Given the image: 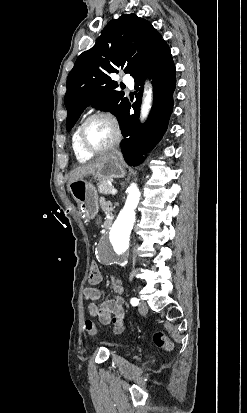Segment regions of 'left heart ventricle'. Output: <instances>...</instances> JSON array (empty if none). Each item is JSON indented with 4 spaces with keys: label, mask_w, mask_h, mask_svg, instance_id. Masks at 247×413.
Wrapping results in <instances>:
<instances>
[{
    "label": "left heart ventricle",
    "mask_w": 247,
    "mask_h": 413,
    "mask_svg": "<svg viewBox=\"0 0 247 413\" xmlns=\"http://www.w3.org/2000/svg\"><path fill=\"white\" fill-rule=\"evenodd\" d=\"M114 127L108 120L96 119L88 124L83 132L85 144L91 148H100L114 137Z\"/></svg>",
    "instance_id": "1"
}]
</instances>
